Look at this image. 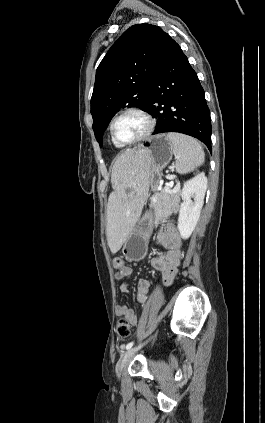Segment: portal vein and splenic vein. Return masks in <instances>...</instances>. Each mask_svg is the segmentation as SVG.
Segmentation results:
<instances>
[{
  "label": "portal vein and splenic vein",
  "instance_id": "obj_1",
  "mask_svg": "<svg viewBox=\"0 0 265 423\" xmlns=\"http://www.w3.org/2000/svg\"><path fill=\"white\" fill-rule=\"evenodd\" d=\"M165 190H166V191L177 192V191H178V187H175L173 190H170L169 185H167V186H165Z\"/></svg>",
  "mask_w": 265,
  "mask_h": 423
}]
</instances>
